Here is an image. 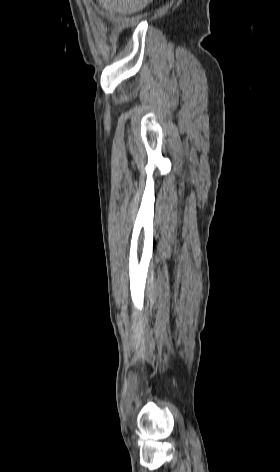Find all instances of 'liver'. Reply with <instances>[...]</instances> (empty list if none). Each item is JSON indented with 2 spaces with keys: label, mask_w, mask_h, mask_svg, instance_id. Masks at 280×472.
<instances>
[{
  "label": "liver",
  "mask_w": 280,
  "mask_h": 472,
  "mask_svg": "<svg viewBox=\"0 0 280 472\" xmlns=\"http://www.w3.org/2000/svg\"><path fill=\"white\" fill-rule=\"evenodd\" d=\"M103 8L112 13L132 14L142 10L151 0H98Z\"/></svg>",
  "instance_id": "1"
}]
</instances>
